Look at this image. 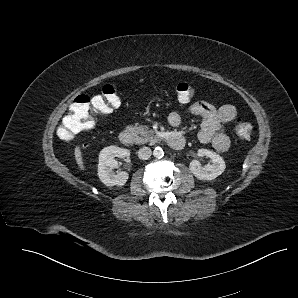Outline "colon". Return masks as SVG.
Returning <instances> with one entry per match:
<instances>
[{
  "mask_svg": "<svg viewBox=\"0 0 298 298\" xmlns=\"http://www.w3.org/2000/svg\"><path fill=\"white\" fill-rule=\"evenodd\" d=\"M175 91L178 100L183 103L189 102L197 92L194 86L185 82L177 84ZM119 104L118 87L115 83L104 85L97 95L77 96L61 122L59 136L68 140L92 128L98 114H110ZM235 133L241 140L249 141L253 137V127L247 121L238 120L235 124Z\"/></svg>",
  "mask_w": 298,
  "mask_h": 298,
  "instance_id": "5ec220e1",
  "label": "colon"
}]
</instances>
